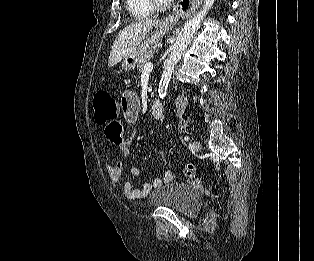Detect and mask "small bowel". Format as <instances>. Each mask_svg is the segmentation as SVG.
<instances>
[{"instance_id":"c3829d8e","label":"small bowel","mask_w":314,"mask_h":261,"mask_svg":"<svg viewBox=\"0 0 314 261\" xmlns=\"http://www.w3.org/2000/svg\"><path fill=\"white\" fill-rule=\"evenodd\" d=\"M120 109L127 121L133 122L140 110V100L137 93L132 89H126L120 100ZM125 127L123 120H106L103 125V139L110 148H119L124 157L130 154V145L135 138L136 133H131L125 138ZM161 163L165 165V160L162 157ZM107 170L112 181L121 185L124 196L128 199H138L146 197L153 188H157L165 183H168L173 178L171 170L166 168L161 177H155L151 182H145L142 188H135L131 180L125 173L123 161L119 160L112 165H108ZM129 173L132 176H140L143 173V168L132 166L129 168Z\"/></svg>"}]
</instances>
